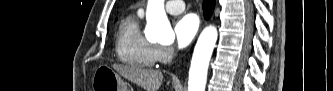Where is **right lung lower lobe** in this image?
<instances>
[{"label": "right lung lower lobe", "mask_w": 333, "mask_h": 91, "mask_svg": "<svg viewBox=\"0 0 333 91\" xmlns=\"http://www.w3.org/2000/svg\"><path fill=\"white\" fill-rule=\"evenodd\" d=\"M215 6V0H203V10L206 19H209Z\"/></svg>", "instance_id": "right-lung-lower-lobe-1"}]
</instances>
